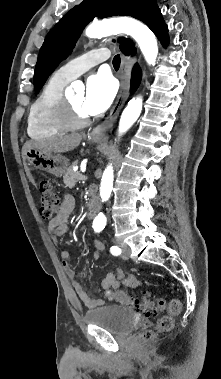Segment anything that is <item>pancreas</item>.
I'll return each mask as SVG.
<instances>
[{
  "mask_svg": "<svg viewBox=\"0 0 221 379\" xmlns=\"http://www.w3.org/2000/svg\"><path fill=\"white\" fill-rule=\"evenodd\" d=\"M78 162L75 161L73 164L67 169L66 173L64 174L63 181L65 185L69 188H72L75 186V184L82 179V175L78 171H73V166L76 165Z\"/></svg>",
  "mask_w": 221,
  "mask_h": 379,
  "instance_id": "pancreas-1",
  "label": "pancreas"
}]
</instances>
